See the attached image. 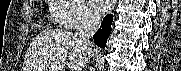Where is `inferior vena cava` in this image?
I'll return each mask as SVG.
<instances>
[{
    "instance_id": "602c4592",
    "label": "inferior vena cava",
    "mask_w": 181,
    "mask_h": 71,
    "mask_svg": "<svg viewBox=\"0 0 181 71\" xmlns=\"http://www.w3.org/2000/svg\"><path fill=\"white\" fill-rule=\"evenodd\" d=\"M101 20L93 14H84L76 30V37L79 44L87 51L89 57L93 55L90 39L100 27Z\"/></svg>"
}]
</instances>
